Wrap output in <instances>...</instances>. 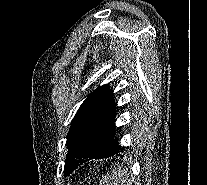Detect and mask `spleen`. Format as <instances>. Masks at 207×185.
Returning <instances> with one entry per match:
<instances>
[{
    "label": "spleen",
    "instance_id": "obj_1",
    "mask_svg": "<svg viewBox=\"0 0 207 185\" xmlns=\"http://www.w3.org/2000/svg\"><path fill=\"white\" fill-rule=\"evenodd\" d=\"M127 171L126 162H121V166H118V170H110V174H106L105 185H125V183H131V172Z\"/></svg>",
    "mask_w": 207,
    "mask_h": 185
}]
</instances>
